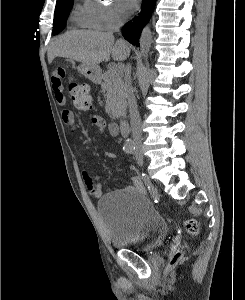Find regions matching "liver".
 <instances>
[{
	"label": "liver",
	"mask_w": 245,
	"mask_h": 300,
	"mask_svg": "<svg viewBox=\"0 0 245 300\" xmlns=\"http://www.w3.org/2000/svg\"><path fill=\"white\" fill-rule=\"evenodd\" d=\"M110 55L115 61H123L130 55V47L121 39L115 42L111 32L82 30L61 35L47 54L49 63L56 57H64L91 66L108 61Z\"/></svg>",
	"instance_id": "liver-1"
}]
</instances>
